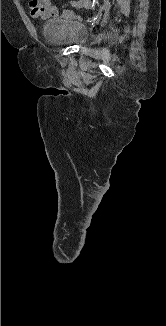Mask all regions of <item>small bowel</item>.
I'll list each match as a JSON object with an SVG mask.
<instances>
[{
    "instance_id": "obj_1",
    "label": "small bowel",
    "mask_w": 166,
    "mask_h": 326,
    "mask_svg": "<svg viewBox=\"0 0 166 326\" xmlns=\"http://www.w3.org/2000/svg\"><path fill=\"white\" fill-rule=\"evenodd\" d=\"M29 14L36 19H48L58 13L52 0H28Z\"/></svg>"
}]
</instances>
